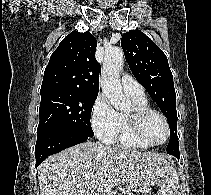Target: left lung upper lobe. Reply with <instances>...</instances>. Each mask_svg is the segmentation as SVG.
<instances>
[{
    "label": "left lung upper lobe",
    "instance_id": "obj_1",
    "mask_svg": "<svg viewBox=\"0 0 211 195\" xmlns=\"http://www.w3.org/2000/svg\"><path fill=\"white\" fill-rule=\"evenodd\" d=\"M121 46L134 77L147 90L168 120L170 141L166 148L167 153H179L176 93L166 55L139 30L123 34Z\"/></svg>",
    "mask_w": 211,
    "mask_h": 195
}]
</instances>
